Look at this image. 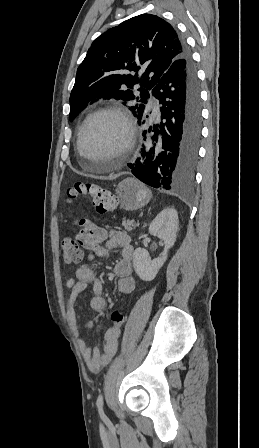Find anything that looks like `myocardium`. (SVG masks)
Instances as JSON below:
<instances>
[{
  "label": "myocardium",
  "mask_w": 259,
  "mask_h": 448,
  "mask_svg": "<svg viewBox=\"0 0 259 448\" xmlns=\"http://www.w3.org/2000/svg\"><path fill=\"white\" fill-rule=\"evenodd\" d=\"M103 115L118 116L123 121L125 126V136L123 140L114 148L115 157L124 156L131 150L135 138L134 119L125 107L120 105H109L94 111L82 123L76 139V158L78 161H81V152L83 150L82 138L86 128L91 122Z\"/></svg>",
  "instance_id": "f54148a6"
}]
</instances>
